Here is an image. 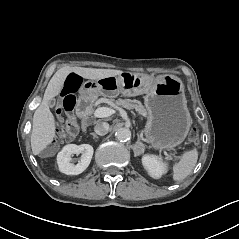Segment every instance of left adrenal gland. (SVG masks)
<instances>
[{"label": "left adrenal gland", "instance_id": "1", "mask_svg": "<svg viewBox=\"0 0 239 239\" xmlns=\"http://www.w3.org/2000/svg\"><path fill=\"white\" fill-rule=\"evenodd\" d=\"M140 146H143V144L140 142V138L138 137V140H137L136 144L133 146L135 155H138V149H139Z\"/></svg>", "mask_w": 239, "mask_h": 239}]
</instances>
